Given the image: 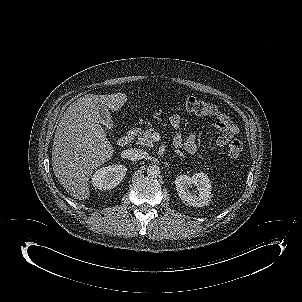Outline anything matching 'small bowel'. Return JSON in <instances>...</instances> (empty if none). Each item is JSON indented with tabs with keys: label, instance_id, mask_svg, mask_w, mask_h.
Segmentation results:
<instances>
[{
	"label": "small bowel",
	"instance_id": "1",
	"mask_svg": "<svg viewBox=\"0 0 302 302\" xmlns=\"http://www.w3.org/2000/svg\"><path fill=\"white\" fill-rule=\"evenodd\" d=\"M170 124L173 128L178 129L181 125V118L179 115H172L169 118ZM215 130L219 135L213 139L210 144L213 147H223L227 145L234 135L237 133V128L233 125L225 115H220L217 121L214 123ZM175 144L183 146L187 151L193 152L196 149L195 134L191 133L187 136H183L178 133L174 139Z\"/></svg>",
	"mask_w": 302,
	"mask_h": 302
}]
</instances>
